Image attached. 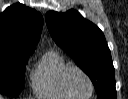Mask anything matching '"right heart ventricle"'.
Listing matches in <instances>:
<instances>
[{"label":"right heart ventricle","instance_id":"right-heart-ventricle-1","mask_svg":"<svg viewBox=\"0 0 128 99\" xmlns=\"http://www.w3.org/2000/svg\"><path fill=\"white\" fill-rule=\"evenodd\" d=\"M69 66L57 51L46 52L32 73L34 94L40 99H70L62 84V75Z\"/></svg>","mask_w":128,"mask_h":99}]
</instances>
